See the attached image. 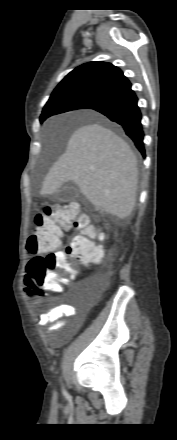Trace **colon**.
Here are the masks:
<instances>
[{"instance_id": "colon-1", "label": "colon", "mask_w": 177, "mask_h": 440, "mask_svg": "<svg viewBox=\"0 0 177 440\" xmlns=\"http://www.w3.org/2000/svg\"><path fill=\"white\" fill-rule=\"evenodd\" d=\"M34 223L26 250L28 254L44 253L45 256L36 255L27 265L32 274L26 277V285L33 292H37L40 286L61 290L64 282L58 274L69 272L70 259L88 265L97 264L101 259L102 249L95 243L100 233L90 223V216L81 213L77 204L49 206L35 217ZM71 228L79 229L81 234L65 251H58L62 231Z\"/></svg>"}]
</instances>
